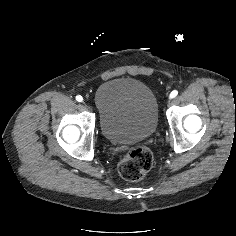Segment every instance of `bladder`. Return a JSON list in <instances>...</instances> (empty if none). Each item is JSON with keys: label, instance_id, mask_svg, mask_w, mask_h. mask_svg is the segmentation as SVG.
Returning a JSON list of instances; mask_svg holds the SVG:
<instances>
[{"label": "bladder", "instance_id": "bladder-1", "mask_svg": "<svg viewBox=\"0 0 236 236\" xmlns=\"http://www.w3.org/2000/svg\"><path fill=\"white\" fill-rule=\"evenodd\" d=\"M102 135L115 144L149 138L158 124V101L145 83L116 78L103 83L94 96Z\"/></svg>", "mask_w": 236, "mask_h": 236}]
</instances>
